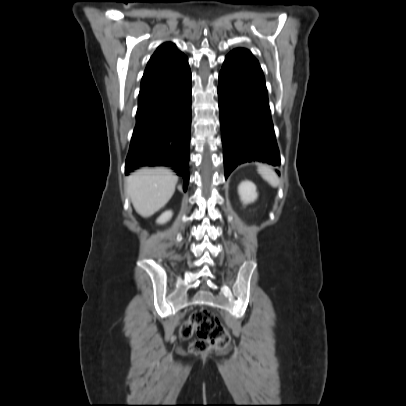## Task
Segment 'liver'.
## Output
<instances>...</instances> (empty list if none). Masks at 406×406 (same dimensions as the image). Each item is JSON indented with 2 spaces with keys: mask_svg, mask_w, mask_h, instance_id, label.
Masks as SVG:
<instances>
[{
  "mask_svg": "<svg viewBox=\"0 0 406 406\" xmlns=\"http://www.w3.org/2000/svg\"><path fill=\"white\" fill-rule=\"evenodd\" d=\"M176 182L177 176L169 169L143 168L127 178V193L136 212L147 218L167 204Z\"/></svg>",
  "mask_w": 406,
  "mask_h": 406,
  "instance_id": "obj_1",
  "label": "liver"
}]
</instances>
